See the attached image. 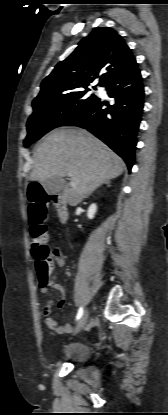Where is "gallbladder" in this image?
Returning <instances> with one entry per match:
<instances>
[{"label": "gallbladder", "mask_w": 168, "mask_h": 415, "mask_svg": "<svg viewBox=\"0 0 168 415\" xmlns=\"http://www.w3.org/2000/svg\"><path fill=\"white\" fill-rule=\"evenodd\" d=\"M41 185L48 194L59 193L64 185L62 178L54 176L41 181Z\"/></svg>", "instance_id": "1"}]
</instances>
